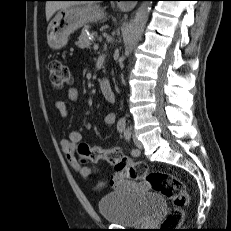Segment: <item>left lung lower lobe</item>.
<instances>
[{
	"instance_id": "1",
	"label": "left lung lower lobe",
	"mask_w": 231,
	"mask_h": 231,
	"mask_svg": "<svg viewBox=\"0 0 231 231\" xmlns=\"http://www.w3.org/2000/svg\"><path fill=\"white\" fill-rule=\"evenodd\" d=\"M102 1H110V0H102Z\"/></svg>"
}]
</instances>
